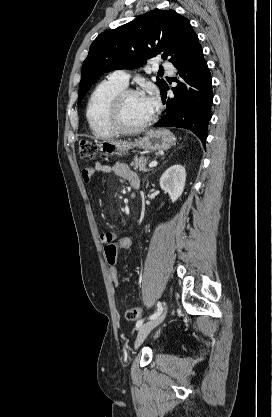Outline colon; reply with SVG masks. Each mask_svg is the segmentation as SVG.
Segmentation results:
<instances>
[{
  "instance_id": "5ec220e1",
  "label": "colon",
  "mask_w": 272,
  "mask_h": 417,
  "mask_svg": "<svg viewBox=\"0 0 272 417\" xmlns=\"http://www.w3.org/2000/svg\"><path fill=\"white\" fill-rule=\"evenodd\" d=\"M79 154L84 159H94L97 156L96 146L89 140H81L79 144ZM131 246V240L128 237L121 236L107 242L104 247L106 261L109 265L110 278L115 287L119 286V271L117 268V257L120 252L126 251ZM141 314L139 307L127 309L125 317L127 320H136Z\"/></svg>"
}]
</instances>
